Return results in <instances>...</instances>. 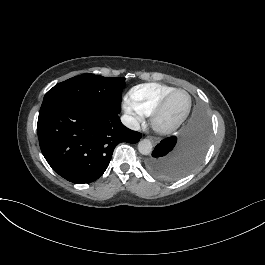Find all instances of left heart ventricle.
I'll return each instance as SVG.
<instances>
[{
  "mask_svg": "<svg viewBox=\"0 0 265 265\" xmlns=\"http://www.w3.org/2000/svg\"><path fill=\"white\" fill-rule=\"evenodd\" d=\"M188 99L184 93L175 94L168 102L163 119L165 122H172L180 118L185 112Z\"/></svg>",
  "mask_w": 265,
  "mask_h": 265,
  "instance_id": "left-heart-ventricle-1",
  "label": "left heart ventricle"
}]
</instances>
